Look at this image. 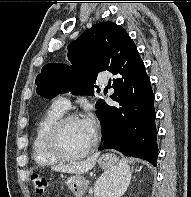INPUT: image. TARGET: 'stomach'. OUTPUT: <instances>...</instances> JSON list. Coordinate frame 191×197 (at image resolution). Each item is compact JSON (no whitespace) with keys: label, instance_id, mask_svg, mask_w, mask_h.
<instances>
[{"label":"stomach","instance_id":"1","mask_svg":"<svg viewBox=\"0 0 191 197\" xmlns=\"http://www.w3.org/2000/svg\"><path fill=\"white\" fill-rule=\"evenodd\" d=\"M118 158L114 154H104L98 159L99 166L106 170L107 173L110 175L109 182L106 187V195L108 197L114 196L115 188L118 187L120 184H126L128 182L121 181L119 182L117 178H115L112 175V172L115 171V168L118 165L127 166L126 164H117ZM66 185L70 189V191L76 196V197H82V195L85 193L88 187L87 180L80 174L72 175L67 177L65 181Z\"/></svg>","mask_w":191,"mask_h":197}]
</instances>
